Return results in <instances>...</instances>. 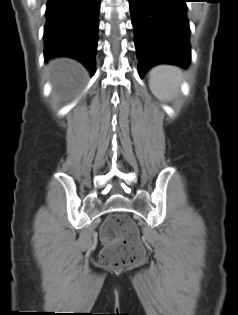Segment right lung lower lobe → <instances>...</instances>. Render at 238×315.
<instances>
[{"label":"right lung lower lobe","mask_w":238,"mask_h":315,"mask_svg":"<svg viewBox=\"0 0 238 315\" xmlns=\"http://www.w3.org/2000/svg\"><path fill=\"white\" fill-rule=\"evenodd\" d=\"M100 0H48L44 56L72 57L95 73Z\"/></svg>","instance_id":"1"}]
</instances>
